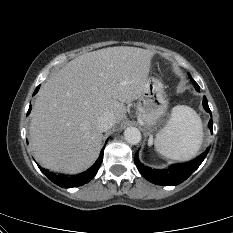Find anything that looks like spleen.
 <instances>
[{
	"label": "spleen",
	"instance_id": "1",
	"mask_svg": "<svg viewBox=\"0 0 233 233\" xmlns=\"http://www.w3.org/2000/svg\"><path fill=\"white\" fill-rule=\"evenodd\" d=\"M203 141V127L199 115L190 107L173 108L165 127L156 135V150L171 159L184 161L194 157Z\"/></svg>",
	"mask_w": 233,
	"mask_h": 233
}]
</instances>
